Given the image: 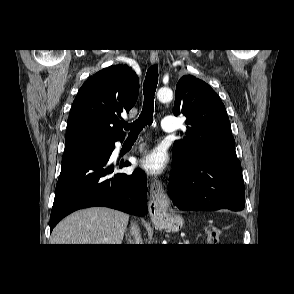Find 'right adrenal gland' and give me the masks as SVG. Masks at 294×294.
I'll return each mask as SVG.
<instances>
[{"label":"right adrenal gland","mask_w":294,"mask_h":294,"mask_svg":"<svg viewBox=\"0 0 294 294\" xmlns=\"http://www.w3.org/2000/svg\"><path fill=\"white\" fill-rule=\"evenodd\" d=\"M127 239V237H126ZM127 244H132L130 237L128 238V243Z\"/></svg>","instance_id":"right-adrenal-gland-1"}]
</instances>
